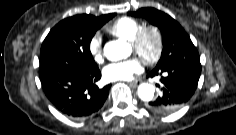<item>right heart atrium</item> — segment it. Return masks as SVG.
Instances as JSON below:
<instances>
[{
	"mask_svg": "<svg viewBox=\"0 0 236 135\" xmlns=\"http://www.w3.org/2000/svg\"><path fill=\"white\" fill-rule=\"evenodd\" d=\"M89 50L96 61L103 57V38L99 33L94 34L89 41Z\"/></svg>",
	"mask_w": 236,
	"mask_h": 135,
	"instance_id": "1",
	"label": "right heart atrium"
}]
</instances>
